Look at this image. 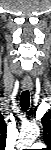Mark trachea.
I'll list each match as a JSON object with an SVG mask.
<instances>
[{"mask_svg": "<svg viewBox=\"0 0 51 150\" xmlns=\"http://www.w3.org/2000/svg\"><path fill=\"white\" fill-rule=\"evenodd\" d=\"M30 105V94L28 90H24L20 96V106L26 112Z\"/></svg>", "mask_w": 51, "mask_h": 150, "instance_id": "3493384b", "label": "trachea"}]
</instances>
